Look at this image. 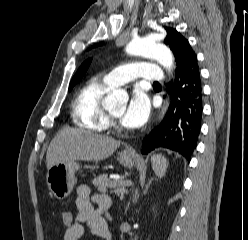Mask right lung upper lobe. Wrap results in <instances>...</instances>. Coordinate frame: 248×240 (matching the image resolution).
<instances>
[{
	"mask_svg": "<svg viewBox=\"0 0 248 240\" xmlns=\"http://www.w3.org/2000/svg\"><path fill=\"white\" fill-rule=\"evenodd\" d=\"M90 63H91V59H88L81 65V67L79 68V70L77 71L75 76L73 77L71 83L72 82L77 83L83 77V75L86 73Z\"/></svg>",
	"mask_w": 248,
	"mask_h": 240,
	"instance_id": "1",
	"label": "right lung upper lobe"
}]
</instances>
